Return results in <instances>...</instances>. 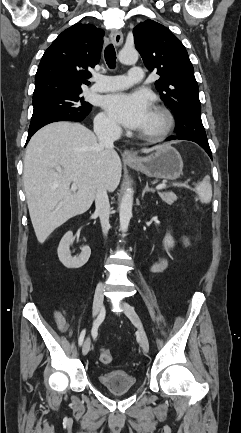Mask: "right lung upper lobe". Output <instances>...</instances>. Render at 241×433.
<instances>
[{
    "instance_id": "right-lung-upper-lobe-1",
    "label": "right lung upper lobe",
    "mask_w": 241,
    "mask_h": 433,
    "mask_svg": "<svg viewBox=\"0 0 241 433\" xmlns=\"http://www.w3.org/2000/svg\"><path fill=\"white\" fill-rule=\"evenodd\" d=\"M104 31L76 23L63 31L45 51L35 77L33 97L65 91H82L89 70L100 59Z\"/></svg>"
}]
</instances>
